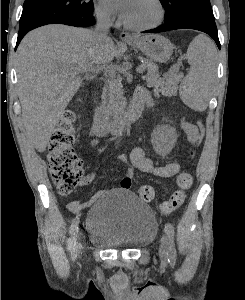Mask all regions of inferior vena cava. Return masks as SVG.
<instances>
[{"label": "inferior vena cava", "instance_id": "inferior-vena-cava-1", "mask_svg": "<svg viewBox=\"0 0 245 300\" xmlns=\"http://www.w3.org/2000/svg\"><path fill=\"white\" fill-rule=\"evenodd\" d=\"M112 25L110 16L106 13L97 14V25L94 31L95 38L99 44L104 43L109 39L107 32Z\"/></svg>", "mask_w": 245, "mask_h": 300}]
</instances>
